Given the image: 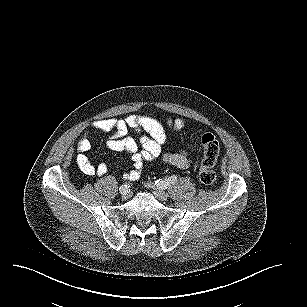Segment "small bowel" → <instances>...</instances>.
<instances>
[{
  "label": "small bowel",
  "instance_id": "c3829d8e",
  "mask_svg": "<svg viewBox=\"0 0 307 307\" xmlns=\"http://www.w3.org/2000/svg\"><path fill=\"white\" fill-rule=\"evenodd\" d=\"M167 125L171 129L179 131L185 126V121L181 118L169 119ZM130 129L145 133L139 141L140 145L134 138L128 136ZM91 130L110 132L111 134L106 142L107 147L110 150L124 152L130 156L134 168L123 174V178L127 181L138 180L144 163L156 159H161L181 169L187 168L191 163V147L172 153H163L162 146L166 141L165 129L154 118L133 114L124 119H99L92 122ZM91 146L90 131H86L77 143L78 166L86 175L104 176L108 172V166L105 163L94 165L91 162L88 156Z\"/></svg>",
  "mask_w": 307,
  "mask_h": 307
}]
</instances>
